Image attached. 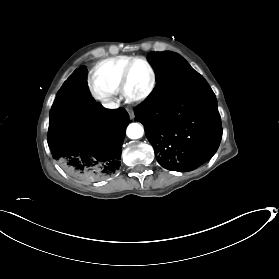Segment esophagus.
Wrapping results in <instances>:
<instances>
[{
    "instance_id": "34e87169",
    "label": "esophagus",
    "mask_w": 279,
    "mask_h": 279,
    "mask_svg": "<svg viewBox=\"0 0 279 279\" xmlns=\"http://www.w3.org/2000/svg\"><path fill=\"white\" fill-rule=\"evenodd\" d=\"M128 113H129L131 119H133L135 117L132 109H128Z\"/></svg>"
}]
</instances>
